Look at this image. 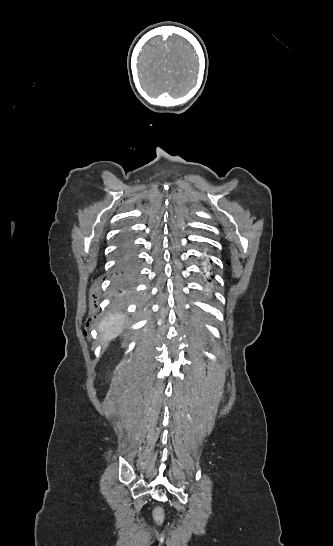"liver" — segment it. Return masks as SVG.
Returning <instances> with one entry per match:
<instances>
[{
    "label": "liver",
    "mask_w": 333,
    "mask_h": 546,
    "mask_svg": "<svg viewBox=\"0 0 333 546\" xmlns=\"http://www.w3.org/2000/svg\"><path fill=\"white\" fill-rule=\"evenodd\" d=\"M126 316L115 312L107 315L98 326L102 342L110 341L120 335L124 329Z\"/></svg>",
    "instance_id": "6515ba94"
}]
</instances>
